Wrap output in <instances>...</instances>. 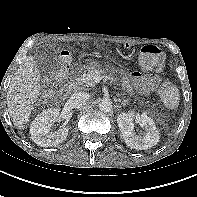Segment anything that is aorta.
Listing matches in <instances>:
<instances>
[{
	"label": "aorta",
	"instance_id": "obj_1",
	"mask_svg": "<svg viewBox=\"0 0 197 197\" xmlns=\"http://www.w3.org/2000/svg\"><path fill=\"white\" fill-rule=\"evenodd\" d=\"M99 109L102 112L108 113L112 110V102L109 99H103L99 102Z\"/></svg>",
	"mask_w": 197,
	"mask_h": 197
}]
</instances>
